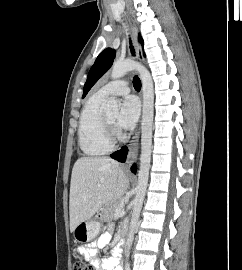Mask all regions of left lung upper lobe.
<instances>
[{
	"label": "left lung upper lobe",
	"instance_id": "obj_1",
	"mask_svg": "<svg viewBox=\"0 0 242 270\" xmlns=\"http://www.w3.org/2000/svg\"><path fill=\"white\" fill-rule=\"evenodd\" d=\"M139 41L143 45V40L139 38ZM115 57V51L111 48H107L103 50L95 60L93 66L91 67L87 81L84 85L83 89V96L82 98L85 97V95L88 93L90 88L96 83V81L111 67L113 60Z\"/></svg>",
	"mask_w": 242,
	"mask_h": 270
}]
</instances>
